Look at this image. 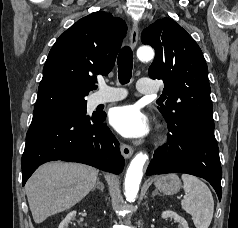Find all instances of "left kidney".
<instances>
[{"label":"left kidney","instance_id":"5707ae66","mask_svg":"<svg viewBox=\"0 0 238 228\" xmlns=\"http://www.w3.org/2000/svg\"><path fill=\"white\" fill-rule=\"evenodd\" d=\"M163 219L173 218L178 223V228H189L187 221L174 211H164L161 215Z\"/></svg>","mask_w":238,"mask_h":228}]
</instances>
